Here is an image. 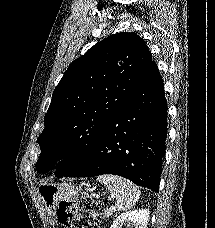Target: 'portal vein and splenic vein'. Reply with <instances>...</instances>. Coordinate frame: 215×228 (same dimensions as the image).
I'll return each instance as SVG.
<instances>
[{
  "label": "portal vein and splenic vein",
  "mask_w": 215,
  "mask_h": 228,
  "mask_svg": "<svg viewBox=\"0 0 215 228\" xmlns=\"http://www.w3.org/2000/svg\"><path fill=\"white\" fill-rule=\"evenodd\" d=\"M110 212H115L114 208H112V206H110Z\"/></svg>",
  "instance_id": "18ae733b"
}]
</instances>
